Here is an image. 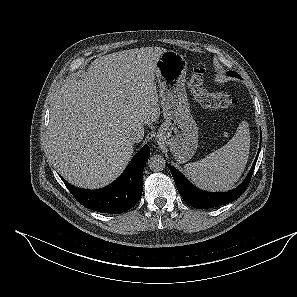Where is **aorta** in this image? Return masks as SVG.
<instances>
[{"instance_id":"aorta-1","label":"aorta","mask_w":297,"mask_h":297,"mask_svg":"<svg viewBox=\"0 0 297 297\" xmlns=\"http://www.w3.org/2000/svg\"><path fill=\"white\" fill-rule=\"evenodd\" d=\"M149 168L154 171H162L166 166V161L161 155H153L148 159Z\"/></svg>"}]
</instances>
